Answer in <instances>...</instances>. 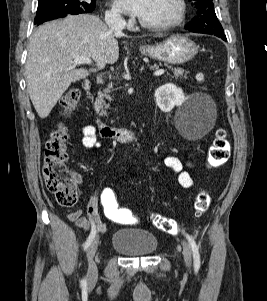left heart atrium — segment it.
<instances>
[{
	"label": "left heart atrium",
	"mask_w": 267,
	"mask_h": 301,
	"mask_svg": "<svg viewBox=\"0 0 267 301\" xmlns=\"http://www.w3.org/2000/svg\"><path fill=\"white\" fill-rule=\"evenodd\" d=\"M147 0H119L121 9L134 16H140L145 9Z\"/></svg>",
	"instance_id": "obj_1"
}]
</instances>
